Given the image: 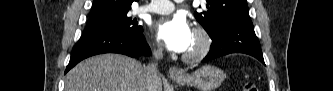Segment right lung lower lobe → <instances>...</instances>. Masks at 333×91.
<instances>
[{"label": "right lung lower lobe", "mask_w": 333, "mask_h": 91, "mask_svg": "<svg viewBox=\"0 0 333 91\" xmlns=\"http://www.w3.org/2000/svg\"><path fill=\"white\" fill-rule=\"evenodd\" d=\"M102 53H120L131 57L149 55L150 48L142 34H131L120 30H84L74 46L67 73L78 62Z\"/></svg>", "instance_id": "1"}]
</instances>
